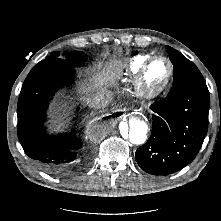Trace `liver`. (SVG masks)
<instances>
[{
    "label": "liver",
    "instance_id": "1",
    "mask_svg": "<svg viewBox=\"0 0 221 221\" xmlns=\"http://www.w3.org/2000/svg\"><path fill=\"white\" fill-rule=\"evenodd\" d=\"M122 70L121 62H114L94 72L90 77V83L82 86L85 94L83 99L89 105L90 101L100 93L107 92L106 88L115 85Z\"/></svg>",
    "mask_w": 221,
    "mask_h": 221
}]
</instances>
